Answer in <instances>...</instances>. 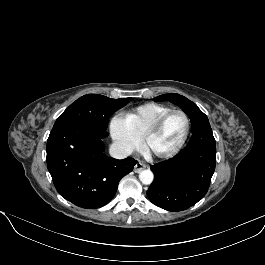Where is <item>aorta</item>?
Wrapping results in <instances>:
<instances>
[{
	"label": "aorta",
	"mask_w": 265,
	"mask_h": 265,
	"mask_svg": "<svg viewBox=\"0 0 265 265\" xmlns=\"http://www.w3.org/2000/svg\"><path fill=\"white\" fill-rule=\"evenodd\" d=\"M139 179L143 184L149 185L153 182L154 175L150 170H143L139 173Z\"/></svg>",
	"instance_id": "1"
}]
</instances>
